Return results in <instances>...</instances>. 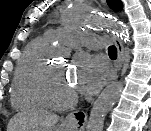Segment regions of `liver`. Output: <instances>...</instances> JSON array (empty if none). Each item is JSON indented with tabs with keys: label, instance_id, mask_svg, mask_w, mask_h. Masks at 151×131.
I'll use <instances>...</instances> for the list:
<instances>
[{
	"label": "liver",
	"instance_id": "liver-1",
	"mask_svg": "<svg viewBox=\"0 0 151 131\" xmlns=\"http://www.w3.org/2000/svg\"><path fill=\"white\" fill-rule=\"evenodd\" d=\"M58 121L57 115L34 109L14 115L8 123L7 131H51Z\"/></svg>",
	"mask_w": 151,
	"mask_h": 131
}]
</instances>
